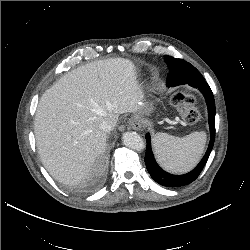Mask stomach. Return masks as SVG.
<instances>
[{"mask_svg": "<svg viewBox=\"0 0 250 250\" xmlns=\"http://www.w3.org/2000/svg\"><path fill=\"white\" fill-rule=\"evenodd\" d=\"M153 110V104L151 101H145L141 103V109L136 114V118L143 121L145 117L149 116Z\"/></svg>", "mask_w": 250, "mask_h": 250, "instance_id": "1", "label": "stomach"}]
</instances>
